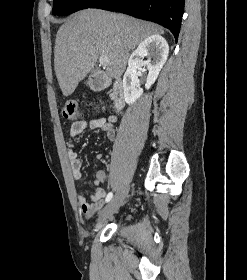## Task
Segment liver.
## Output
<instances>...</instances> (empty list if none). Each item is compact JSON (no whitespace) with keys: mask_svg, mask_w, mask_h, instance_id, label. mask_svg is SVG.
I'll use <instances>...</instances> for the list:
<instances>
[{"mask_svg":"<svg viewBox=\"0 0 247 280\" xmlns=\"http://www.w3.org/2000/svg\"><path fill=\"white\" fill-rule=\"evenodd\" d=\"M158 25L122 14L85 9L59 28L54 48V70L64 96L71 95L100 56H107L108 76L124 73L130 51L145 38L163 34Z\"/></svg>","mask_w":247,"mask_h":280,"instance_id":"liver-1","label":"liver"}]
</instances>
